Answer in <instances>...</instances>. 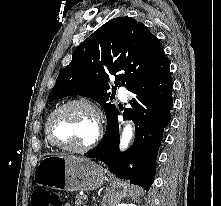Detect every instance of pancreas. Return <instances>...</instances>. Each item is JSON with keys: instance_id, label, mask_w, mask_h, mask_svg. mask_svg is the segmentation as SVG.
Returning <instances> with one entry per match:
<instances>
[{"instance_id": "obj_1", "label": "pancreas", "mask_w": 221, "mask_h": 206, "mask_svg": "<svg viewBox=\"0 0 221 206\" xmlns=\"http://www.w3.org/2000/svg\"><path fill=\"white\" fill-rule=\"evenodd\" d=\"M75 205L76 206H86L84 196L77 195L76 199H75Z\"/></svg>"}]
</instances>
